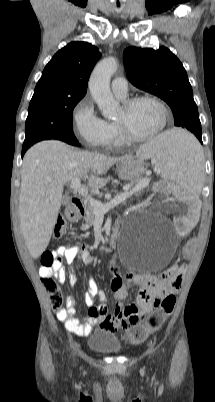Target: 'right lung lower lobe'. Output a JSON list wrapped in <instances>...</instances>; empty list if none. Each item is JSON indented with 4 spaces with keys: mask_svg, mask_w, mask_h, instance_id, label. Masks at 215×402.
I'll return each mask as SVG.
<instances>
[{
    "mask_svg": "<svg viewBox=\"0 0 215 402\" xmlns=\"http://www.w3.org/2000/svg\"><path fill=\"white\" fill-rule=\"evenodd\" d=\"M71 145L80 146V144H79L78 142H74V143H72ZM29 147H30V146H28V145H23V148H22V157H23L24 153L26 152V150H27Z\"/></svg>",
    "mask_w": 215,
    "mask_h": 402,
    "instance_id": "obj_1",
    "label": "right lung lower lobe"
}]
</instances>
